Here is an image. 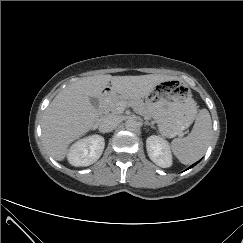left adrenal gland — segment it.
I'll return each instance as SVG.
<instances>
[{
    "mask_svg": "<svg viewBox=\"0 0 243 243\" xmlns=\"http://www.w3.org/2000/svg\"><path fill=\"white\" fill-rule=\"evenodd\" d=\"M145 125H147V126H150L151 128H154L150 123H148V122H145L144 123Z\"/></svg>",
    "mask_w": 243,
    "mask_h": 243,
    "instance_id": "a2214340",
    "label": "left adrenal gland"
}]
</instances>
